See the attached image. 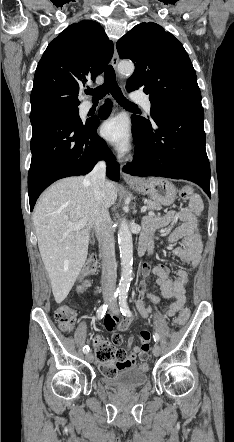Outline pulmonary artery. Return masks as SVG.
<instances>
[{
    "mask_svg": "<svg viewBox=\"0 0 234 442\" xmlns=\"http://www.w3.org/2000/svg\"><path fill=\"white\" fill-rule=\"evenodd\" d=\"M133 100L140 103L142 107L147 111L150 112L151 110V102L147 96L144 95H136L133 97ZM93 107V104L90 102H86L83 106L84 111H88Z\"/></svg>",
    "mask_w": 234,
    "mask_h": 442,
    "instance_id": "e3ab8cb5",
    "label": "pulmonary artery"
}]
</instances>
